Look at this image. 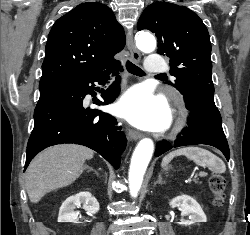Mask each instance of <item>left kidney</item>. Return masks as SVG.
Returning a JSON list of instances; mask_svg holds the SVG:
<instances>
[{"label": "left kidney", "instance_id": "left-kidney-1", "mask_svg": "<svg viewBox=\"0 0 250 235\" xmlns=\"http://www.w3.org/2000/svg\"><path fill=\"white\" fill-rule=\"evenodd\" d=\"M172 208L179 207L182 216H189V220H182L181 225H192L195 223L206 222L207 218L198 202L190 196L181 195L170 201Z\"/></svg>", "mask_w": 250, "mask_h": 235}]
</instances>
